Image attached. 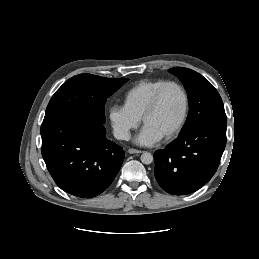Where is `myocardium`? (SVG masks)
Masks as SVG:
<instances>
[{
	"label": "myocardium",
	"mask_w": 259,
	"mask_h": 259,
	"mask_svg": "<svg viewBox=\"0 0 259 259\" xmlns=\"http://www.w3.org/2000/svg\"><path fill=\"white\" fill-rule=\"evenodd\" d=\"M171 86H175L177 87L184 98V108H183V113L182 116L178 122V124L174 127V129H172L169 133H167L165 136H163L161 138V140H170L172 138H174L176 135H178L180 133V131L183 129V127L185 126V123L187 121L188 118V114H189V108H190V98H189V94L186 90V88L180 84L179 82L176 81H167L166 83H164L154 94L149 106L147 107V109L145 110V112L142 115V123L145 126L146 120L157 110V108L159 107L161 98L163 93L165 92V90Z\"/></svg>",
	"instance_id": "myocardium-1"
}]
</instances>
